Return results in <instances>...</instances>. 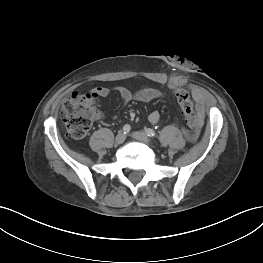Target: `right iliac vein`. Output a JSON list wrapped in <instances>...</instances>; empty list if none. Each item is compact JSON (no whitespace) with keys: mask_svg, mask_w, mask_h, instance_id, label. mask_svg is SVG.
<instances>
[{"mask_svg":"<svg viewBox=\"0 0 263 263\" xmlns=\"http://www.w3.org/2000/svg\"><path fill=\"white\" fill-rule=\"evenodd\" d=\"M126 135L123 132H119L115 137V143L117 145L122 144L125 141Z\"/></svg>","mask_w":263,"mask_h":263,"instance_id":"obj_1","label":"right iliac vein"}]
</instances>
